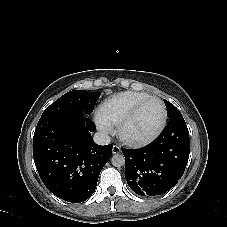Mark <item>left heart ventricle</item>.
Returning <instances> with one entry per match:
<instances>
[{"label":"left heart ventricle","instance_id":"obj_1","mask_svg":"<svg viewBox=\"0 0 227 227\" xmlns=\"http://www.w3.org/2000/svg\"><path fill=\"white\" fill-rule=\"evenodd\" d=\"M163 109L159 102H148L139 112L135 120L127 127L129 137L141 139L150 135L160 124Z\"/></svg>","mask_w":227,"mask_h":227}]
</instances>
